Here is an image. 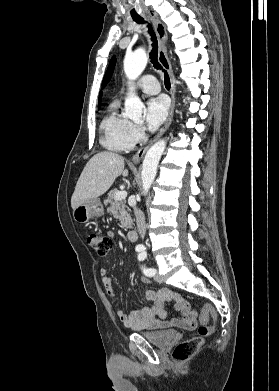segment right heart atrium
<instances>
[{"label":"right heart atrium","mask_w":279,"mask_h":391,"mask_svg":"<svg viewBox=\"0 0 279 391\" xmlns=\"http://www.w3.org/2000/svg\"><path fill=\"white\" fill-rule=\"evenodd\" d=\"M143 133H144V129L140 124H132L130 135L135 142L142 138Z\"/></svg>","instance_id":"d8ad5b80"}]
</instances>
